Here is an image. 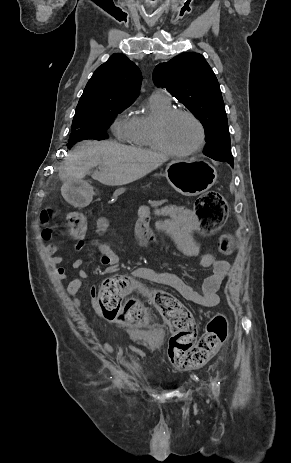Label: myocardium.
<instances>
[{
	"label": "myocardium",
	"mask_w": 291,
	"mask_h": 463,
	"mask_svg": "<svg viewBox=\"0 0 291 463\" xmlns=\"http://www.w3.org/2000/svg\"><path fill=\"white\" fill-rule=\"evenodd\" d=\"M187 116L195 122L199 129L198 143L185 151H176L171 148L164 140L163 131L168 122L177 116ZM152 137L156 148L172 157H188L199 152L205 145L206 130L202 121L191 111L185 109H170L169 111L160 115L153 123Z\"/></svg>",
	"instance_id": "obj_1"
}]
</instances>
